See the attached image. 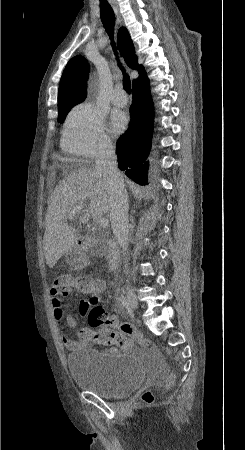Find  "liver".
Wrapping results in <instances>:
<instances>
[{
	"mask_svg": "<svg viewBox=\"0 0 245 450\" xmlns=\"http://www.w3.org/2000/svg\"><path fill=\"white\" fill-rule=\"evenodd\" d=\"M86 206L77 213L79 222L86 223L90 216L102 218L109 212V194L103 177L96 169L82 167L70 172L55 187L45 216L43 248L46 262L53 268L57 261L75 246L78 232L66 222L76 206ZM78 227V228H79Z\"/></svg>",
	"mask_w": 245,
	"mask_h": 450,
	"instance_id": "1",
	"label": "liver"
}]
</instances>
